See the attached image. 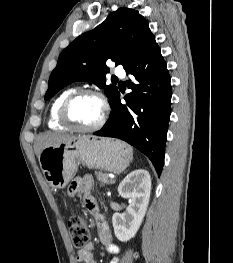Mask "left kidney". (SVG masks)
I'll use <instances>...</instances> for the list:
<instances>
[{"mask_svg":"<svg viewBox=\"0 0 233 263\" xmlns=\"http://www.w3.org/2000/svg\"><path fill=\"white\" fill-rule=\"evenodd\" d=\"M121 197L129 199V206L122 214L115 213L112 224L118 240L126 242L137 233L145 216L151 193V177L144 169L134 170L118 186Z\"/></svg>","mask_w":233,"mask_h":263,"instance_id":"left-kidney-1","label":"left kidney"}]
</instances>
